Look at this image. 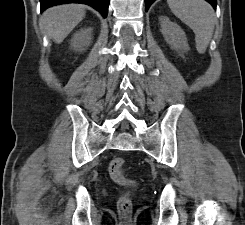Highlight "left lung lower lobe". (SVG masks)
<instances>
[{
	"label": "left lung lower lobe",
	"mask_w": 245,
	"mask_h": 225,
	"mask_svg": "<svg viewBox=\"0 0 245 225\" xmlns=\"http://www.w3.org/2000/svg\"><path fill=\"white\" fill-rule=\"evenodd\" d=\"M155 0H145V6H146V11L149 9L150 5L154 2ZM209 2L213 8H216L217 1L216 0H206Z\"/></svg>",
	"instance_id": "left-lung-lower-lobe-1"
}]
</instances>
